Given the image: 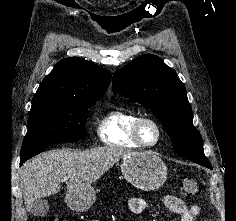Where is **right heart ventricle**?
<instances>
[{"label": "right heart ventricle", "instance_id": "obj_1", "mask_svg": "<svg viewBox=\"0 0 236 221\" xmlns=\"http://www.w3.org/2000/svg\"><path fill=\"white\" fill-rule=\"evenodd\" d=\"M140 115L124 108H115L107 112L99 121L97 133L101 141L112 148L137 149L140 146L132 139L134 122Z\"/></svg>", "mask_w": 236, "mask_h": 221}]
</instances>
